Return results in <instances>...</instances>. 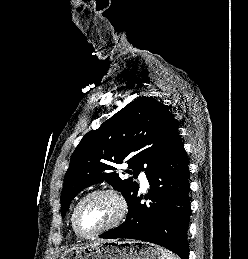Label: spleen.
<instances>
[{"instance_id": "3e777b00", "label": "spleen", "mask_w": 248, "mask_h": 259, "mask_svg": "<svg viewBox=\"0 0 248 259\" xmlns=\"http://www.w3.org/2000/svg\"><path fill=\"white\" fill-rule=\"evenodd\" d=\"M161 259H180L169 250L161 248Z\"/></svg>"}]
</instances>
